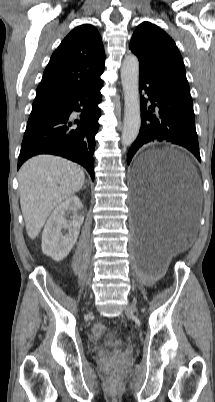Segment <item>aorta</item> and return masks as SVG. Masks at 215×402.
Instances as JSON below:
<instances>
[{
    "label": "aorta",
    "mask_w": 215,
    "mask_h": 402,
    "mask_svg": "<svg viewBox=\"0 0 215 402\" xmlns=\"http://www.w3.org/2000/svg\"><path fill=\"white\" fill-rule=\"evenodd\" d=\"M121 81L124 91V122L121 142L131 145L138 136L141 116L139 97V61L136 56L128 55L121 67Z\"/></svg>",
    "instance_id": "aorta-1"
}]
</instances>
